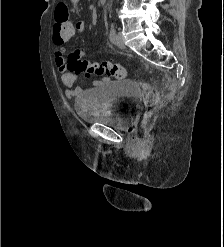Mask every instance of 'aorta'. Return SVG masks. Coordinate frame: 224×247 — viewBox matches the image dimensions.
I'll list each match as a JSON object with an SVG mask.
<instances>
[{
    "label": "aorta",
    "instance_id": "aorta-1",
    "mask_svg": "<svg viewBox=\"0 0 224 247\" xmlns=\"http://www.w3.org/2000/svg\"><path fill=\"white\" fill-rule=\"evenodd\" d=\"M109 8H111V4H108Z\"/></svg>",
    "mask_w": 224,
    "mask_h": 247
}]
</instances>
